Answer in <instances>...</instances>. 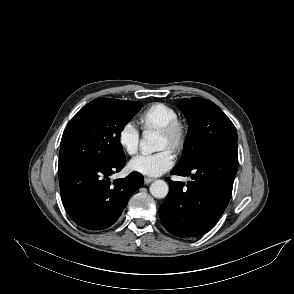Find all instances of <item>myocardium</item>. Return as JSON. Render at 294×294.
<instances>
[{
    "mask_svg": "<svg viewBox=\"0 0 294 294\" xmlns=\"http://www.w3.org/2000/svg\"><path fill=\"white\" fill-rule=\"evenodd\" d=\"M158 132L169 139V147L176 153L183 151L188 140V126L181 120H175L160 128Z\"/></svg>",
    "mask_w": 294,
    "mask_h": 294,
    "instance_id": "myocardium-1",
    "label": "myocardium"
}]
</instances>
